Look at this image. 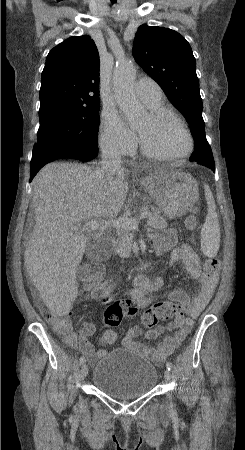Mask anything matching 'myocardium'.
<instances>
[{
	"mask_svg": "<svg viewBox=\"0 0 245 450\" xmlns=\"http://www.w3.org/2000/svg\"><path fill=\"white\" fill-rule=\"evenodd\" d=\"M150 117L156 122L161 121L165 118H169V119L173 120L174 122H176L178 125H180V127L185 132L189 145H188L187 150L180 155L165 156V155H160V154L150 151L145 146V144L142 142V140L139 136V144H140V148H141V152H142L143 156H145L146 158H149L151 160H154V161L170 162V161L185 159L192 155V153L194 152V149H195L194 138H193L189 128L185 124V122L174 111H172L170 109H165V108H153L150 112Z\"/></svg>",
	"mask_w": 245,
	"mask_h": 450,
	"instance_id": "obj_1",
	"label": "myocardium"
}]
</instances>
